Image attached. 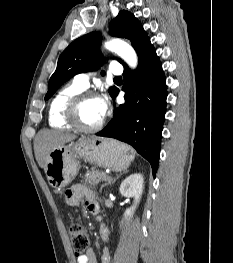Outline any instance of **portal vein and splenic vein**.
<instances>
[{"instance_id":"18ae733b","label":"portal vein and splenic vein","mask_w":233,"mask_h":263,"mask_svg":"<svg viewBox=\"0 0 233 263\" xmlns=\"http://www.w3.org/2000/svg\"><path fill=\"white\" fill-rule=\"evenodd\" d=\"M110 179H111V178L109 177V178H107V179H105V180H108V181H109Z\"/></svg>"}]
</instances>
